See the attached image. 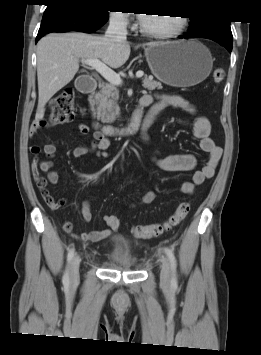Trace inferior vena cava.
I'll return each instance as SVG.
<instances>
[{"mask_svg":"<svg viewBox=\"0 0 261 355\" xmlns=\"http://www.w3.org/2000/svg\"><path fill=\"white\" fill-rule=\"evenodd\" d=\"M127 22L119 15H113L110 17V23L106 30L105 37L112 42H125L127 39Z\"/></svg>","mask_w":261,"mask_h":355,"instance_id":"inferior-vena-cava-1","label":"inferior vena cava"}]
</instances>
